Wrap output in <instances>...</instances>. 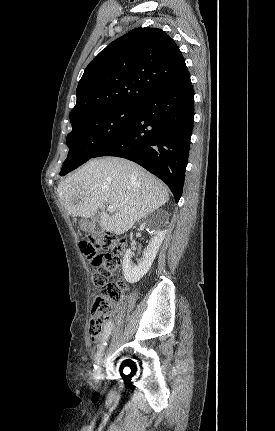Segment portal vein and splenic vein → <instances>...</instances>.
Instances as JSON below:
<instances>
[{"instance_id": "obj_1", "label": "portal vein and splenic vein", "mask_w": 275, "mask_h": 431, "mask_svg": "<svg viewBox=\"0 0 275 431\" xmlns=\"http://www.w3.org/2000/svg\"><path fill=\"white\" fill-rule=\"evenodd\" d=\"M80 194H85V192H81ZM108 212H115V208L112 205H107Z\"/></svg>"}]
</instances>
